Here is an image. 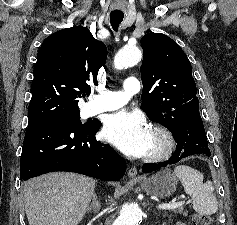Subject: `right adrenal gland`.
I'll return each instance as SVG.
<instances>
[{"instance_id":"obj_1","label":"right adrenal gland","mask_w":237,"mask_h":225,"mask_svg":"<svg viewBox=\"0 0 237 225\" xmlns=\"http://www.w3.org/2000/svg\"><path fill=\"white\" fill-rule=\"evenodd\" d=\"M101 204L97 198V195L94 193L92 198L91 205L87 208V212L97 213L100 210Z\"/></svg>"}]
</instances>
